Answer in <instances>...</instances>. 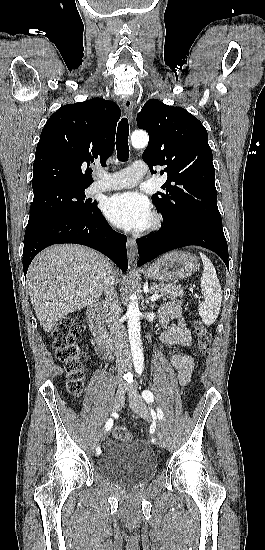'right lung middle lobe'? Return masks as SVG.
Here are the masks:
<instances>
[{
  "mask_svg": "<svg viewBox=\"0 0 265 550\" xmlns=\"http://www.w3.org/2000/svg\"><path fill=\"white\" fill-rule=\"evenodd\" d=\"M85 189L50 185L33 189L29 221L60 215H88L97 210V203L85 200Z\"/></svg>",
  "mask_w": 265,
  "mask_h": 550,
  "instance_id": "obj_1",
  "label": "right lung middle lobe"
}]
</instances>
